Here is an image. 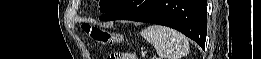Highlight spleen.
Masks as SVG:
<instances>
[{"label":"spleen","mask_w":261,"mask_h":59,"mask_svg":"<svg viewBox=\"0 0 261 59\" xmlns=\"http://www.w3.org/2000/svg\"><path fill=\"white\" fill-rule=\"evenodd\" d=\"M141 36L152 44L160 58L180 59L189 53V42L180 32L161 25H150Z\"/></svg>","instance_id":"3e777b00"}]
</instances>
